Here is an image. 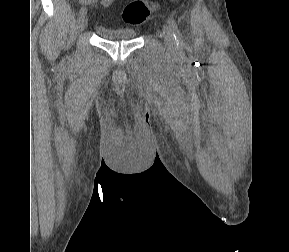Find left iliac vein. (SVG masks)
<instances>
[{
  "mask_svg": "<svg viewBox=\"0 0 289 252\" xmlns=\"http://www.w3.org/2000/svg\"><path fill=\"white\" fill-rule=\"evenodd\" d=\"M162 36H163L167 49L170 51L175 50V40H174V37L170 28L167 25L163 26Z\"/></svg>",
  "mask_w": 289,
  "mask_h": 252,
  "instance_id": "obj_1",
  "label": "left iliac vein"
}]
</instances>
